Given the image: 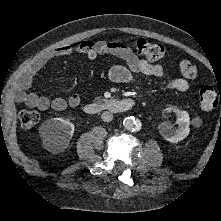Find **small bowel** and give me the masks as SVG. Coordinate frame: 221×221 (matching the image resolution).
<instances>
[{"mask_svg":"<svg viewBox=\"0 0 221 221\" xmlns=\"http://www.w3.org/2000/svg\"><path fill=\"white\" fill-rule=\"evenodd\" d=\"M73 54H80L93 60L101 55H113L122 59L126 65L113 66L108 73L109 79L115 83H130L135 80L137 74L162 78L164 69L159 64H154L146 59L138 57L127 46L106 40L84 41L76 46L62 45L47 52H44L33 60L19 75L16 83V98L30 108L39 110L53 109L62 111L67 107L75 108L80 102V96L77 93L71 94L68 98L55 97L50 99L46 96H40L34 92H27L34 76L49 61L56 58L69 57ZM171 89L178 92H186L189 89V83L183 78H174L170 81Z\"/></svg>","mask_w":221,"mask_h":221,"instance_id":"small-bowel-1","label":"small bowel"}]
</instances>
